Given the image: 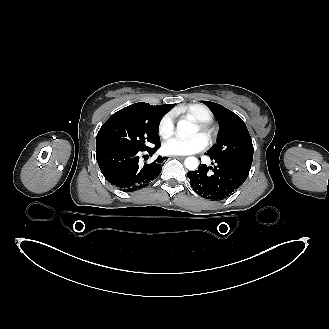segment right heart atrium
<instances>
[{"mask_svg":"<svg viewBox=\"0 0 329 329\" xmlns=\"http://www.w3.org/2000/svg\"><path fill=\"white\" fill-rule=\"evenodd\" d=\"M175 128V115L173 112L166 113L159 121L158 132L161 137H170Z\"/></svg>","mask_w":329,"mask_h":329,"instance_id":"right-heart-atrium-1","label":"right heart atrium"}]
</instances>
